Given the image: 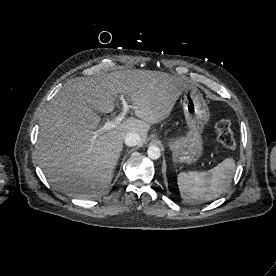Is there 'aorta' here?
<instances>
[{
	"mask_svg": "<svg viewBox=\"0 0 276 276\" xmlns=\"http://www.w3.org/2000/svg\"><path fill=\"white\" fill-rule=\"evenodd\" d=\"M147 155L149 158H151L153 160L159 159L161 156L160 148L156 145L149 146V148L147 150Z\"/></svg>",
	"mask_w": 276,
	"mask_h": 276,
	"instance_id": "762f6f07",
	"label": "aorta"
}]
</instances>
